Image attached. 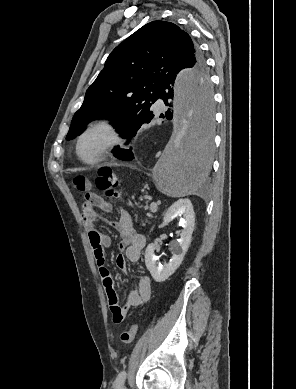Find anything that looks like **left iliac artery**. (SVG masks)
Returning a JSON list of instances; mask_svg holds the SVG:
<instances>
[{
	"mask_svg": "<svg viewBox=\"0 0 296 389\" xmlns=\"http://www.w3.org/2000/svg\"><path fill=\"white\" fill-rule=\"evenodd\" d=\"M126 371H121L118 376H117V379H116V387L119 388L121 385H123V383L125 382L126 380Z\"/></svg>",
	"mask_w": 296,
	"mask_h": 389,
	"instance_id": "1",
	"label": "left iliac artery"
}]
</instances>
